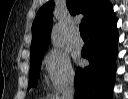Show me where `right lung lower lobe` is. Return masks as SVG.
I'll use <instances>...</instances> for the list:
<instances>
[{"mask_svg": "<svg viewBox=\"0 0 128 99\" xmlns=\"http://www.w3.org/2000/svg\"><path fill=\"white\" fill-rule=\"evenodd\" d=\"M117 19L112 5L88 27L89 42L81 52L89 66L75 75V99H111L117 56Z\"/></svg>", "mask_w": 128, "mask_h": 99, "instance_id": "98d812e1", "label": "right lung lower lobe"}]
</instances>
